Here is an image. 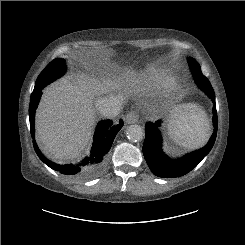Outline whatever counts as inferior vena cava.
<instances>
[{"label":"inferior vena cava","instance_id":"1","mask_svg":"<svg viewBox=\"0 0 245 245\" xmlns=\"http://www.w3.org/2000/svg\"><path fill=\"white\" fill-rule=\"evenodd\" d=\"M122 101L111 95L106 98H100L96 102V108L100 114L106 118L116 117L121 110Z\"/></svg>","mask_w":245,"mask_h":245}]
</instances>
